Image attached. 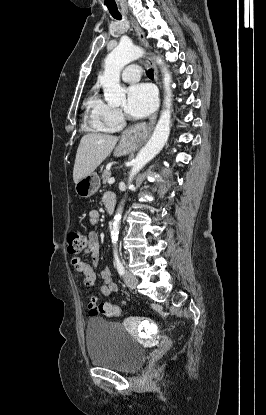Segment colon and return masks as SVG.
Wrapping results in <instances>:
<instances>
[{"instance_id":"colon-1","label":"colon","mask_w":266,"mask_h":415,"mask_svg":"<svg viewBox=\"0 0 266 415\" xmlns=\"http://www.w3.org/2000/svg\"><path fill=\"white\" fill-rule=\"evenodd\" d=\"M67 242L68 252L71 254H78L82 252L88 244L87 238L78 231L70 232L67 237ZM95 312L108 317H117L121 314V309L115 304L101 303L96 306Z\"/></svg>"}]
</instances>
